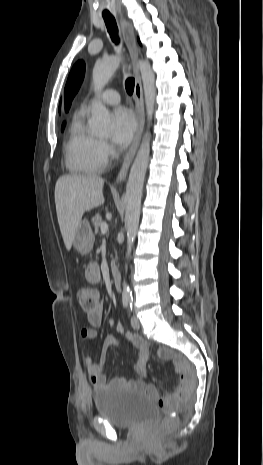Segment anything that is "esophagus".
<instances>
[{
	"label": "esophagus",
	"instance_id": "1",
	"mask_svg": "<svg viewBox=\"0 0 263 465\" xmlns=\"http://www.w3.org/2000/svg\"><path fill=\"white\" fill-rule=\"evenodd\" d=\"M120 24H121L123 38L125 40L126 46L128 48V51H129V54L132 60L133 72L135 76L134 100H135V112H136V118H137V130L135 133L133 143L131 147L129 148L128 152L126 153L121 169L116 177L117 183L121 182L127 175L128 169L139 147L141 136H142L143 129H144V122H145L143 90H142L139 67L137 64L138 47L136 44L134 30H133L131 23L127 21L123 16H120Z\"/></svg>",
	"mask_w": 263,
	"mask_h": 465
}]
</instances>
